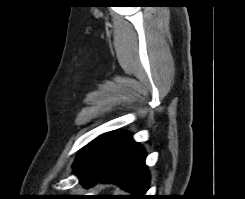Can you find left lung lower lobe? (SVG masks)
Here are the masks:
<instances>
[{"mask_svg":"<svg viewBox=\"0 0 245 199\" xmlns=\"http://www.w3.org/2000/svg\"><path fill=\"white\" fill-rule=\"evenodd\" d=\"M145 157L131 134L111 131L90 142L73 166L84 187L97 182L115 183L135 198H144L149 185Z\"/></svg>","mask_w":245,"mask_h":199,"instance_id":"obj_1","label":"left lung lower lobe"}]
</instances>
